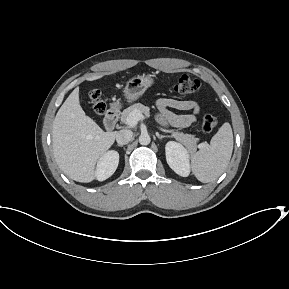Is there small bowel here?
I'll use <instances>...</instances> for the list:
<instances>
[{
  "mask_svg": "<svg viewBox=\"0 0 289 289\" xmlns=\"http://www.w3.org/2000/svg\"><path fill=\"white\" fill-rule=\"evenodd\" d=\"M157 106L160 118L174 127L191 125L200 112L199 105L191 100L163 98L158 101ZM171 109L190 111V114L178 115L172 112Z\"/></svg>",
  "mask_w": 289,
  "mask_h": 289,
  "instance_id": "small-bowel-1",
  "label": "small bowel"
}]
</instances>
